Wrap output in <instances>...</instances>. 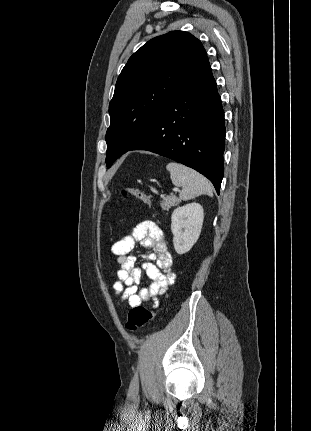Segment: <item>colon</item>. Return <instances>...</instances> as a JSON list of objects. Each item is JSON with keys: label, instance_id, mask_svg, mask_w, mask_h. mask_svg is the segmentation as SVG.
I'll use <instances>...</instances> for the list:
<instances>
[{"label": "colon", "instance_id": "1", "mask_svg": "<svg viewBox=\"0 0 311 431\" xmlns=\"http://www.w3.org/2000/svg\"><path fill=\"white\" fill-rule=\"evenodd\" d=\"M124 196H132L144 204L151 205L152 201L148 195L137 188H125L122 191ZM157 315L156 311L149 310L143 306L132 308L127 317L126 327L130 331H136L151 321Z\"/></svg>", "mask_w": 311, "mask_h": 431}]
</instances>
